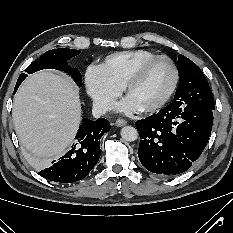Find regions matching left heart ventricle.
<instances>
[{
  "label": "left heart ventricle",
  "instance_id": "1",
  "mask_svg": "<svg viewBox=\"0 0 233 233\" xmlns=\"http://www.w3.org/2000/svg\"><path fill=\"white\" fill-rule=\"evenodd\" d=\"M173 79V70L166 60L153 62L128 92V98L139 108L157 102L166 93Z\"/></svg>",
  "mask_w": 233,
  "mask_h": 233
}]
</instances>
